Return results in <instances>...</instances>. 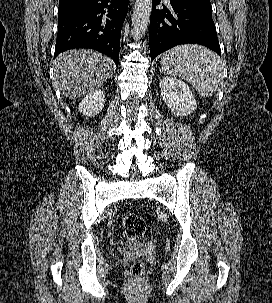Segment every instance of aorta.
I'll return each instance as SVG.
<instances>
[{
	"mask_svg": "<svg viewBox=\"0 0 272 303\" xmlns=\"http://www.w3.org/2000/svg\"><path fill=\"white\" fill-rule=\"evenodd\" d=\"M152 0H136L133 10L131 35L134 41H139L145 34L150 21Z\"/></svg>",
	"mask_w": 272,
	"mask_h": 303,
	"instance_id": "1",
	"label": "aorta"
}]
</instances>
